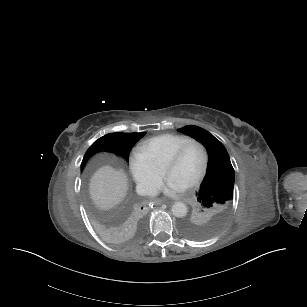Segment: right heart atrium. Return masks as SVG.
I'll return each instance as SVG.
<instances>
[{"mask_svg":"<svg viewBox=\"0 0 307 307\" xmlns=\"http://www.w3.org/2000/svg\"><path fill=\"white\" fill-rule=\"evenodd\" d=\"M128 161L130 174L139 187H151L163 176L162 165L142 146L134 145L130 148Z\"/></svg>","mask_w":307,"mask_h":307,"instance_id":"obj_1","label":"right heart atrium"}]
</instances>
